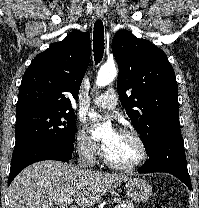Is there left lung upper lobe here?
<instances>
[{"instance_id": "left-lung-upper-lobe-1", "label": "left lung upper lobe", "mask_w": 199, "mask_h": 208, "mask_svg": "<svg viewBox=\"0 0 199 208\" xmlns=\"http://www.w3.org/2000/svg\"><path fill=\"white\" fill-rule=\"evenodd\" d=\"M112 52L119 66L121 104L148 151L160 135L180 129L173 67L161 49L126 30L113 37Z\"/></svg>"}]
</instances>
